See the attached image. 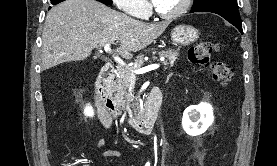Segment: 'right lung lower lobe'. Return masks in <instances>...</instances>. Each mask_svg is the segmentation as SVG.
I'll return each mask as SVG.
<instances>
[{
    "label": "right lung lower lobe",
    "mask_w": 277,
    "mask_h": 166,
    "mask_svg": "<svg viewBox=\"0 0 277 166\" xmlns=\"http://www.w3.org/2000/svg\"><path fill=\"white\" fill-rule=\"evenodd\" d=\"M64 0H51V3L53 4V5H56V4H58V3H60V2H63ZM97 1H100V2H102V3H104V4H106V5H110L111 3H108V2H106V1H104V0H97Z\"/></svg>",
    "instance_id": "right-lung-lower-lobe-1"
}]
</instances>
